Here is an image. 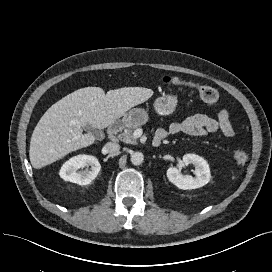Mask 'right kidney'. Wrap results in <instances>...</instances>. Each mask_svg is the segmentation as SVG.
I'll list each match as a JSON object with an SVG mask.
<instances>
[{
  "mask_svg": "<svg viewBox=\"0 0 272 272\" xmlns=\"http://www.w3.org/2000/svg\"><path fill=\"white\" fill-rule=\"evenodd\" d=\"M79 169L82 170L79 171ZM100 169L101 165L96 157L78 155L63 164L59 175L65 181L88 185L97 177Z\"/></svg>",
  "mask_w": 272,
  "mask_h": 272,
  "instance_id": "1",
  "label": "right kidney"
}]
</instances>
